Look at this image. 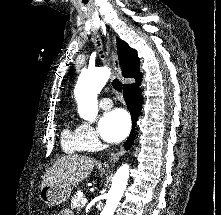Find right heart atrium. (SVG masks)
Segmentation results:
<instances>
[{
	"label": "right heart atrium",
	"mask_w": 221,
	"mask_h": 215,
	"mask_svg": "<svg viewBox=\"0 0 221 215\" xmlns=\"http://www.w3.org/2000/svg\"><path fill=\"white\" fill-rule=\"evenodd\" d=\"M77 132L84 150L91 151L98 147L99 137L92 125L83 122L78 126Z\"/></svg>",
	"instance_id": "1"
}]
</instances>
